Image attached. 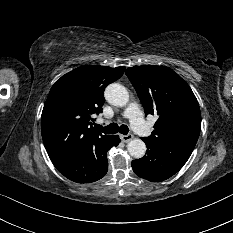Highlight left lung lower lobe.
Segmentation results:
<instances>
[{
	"instance_id": "left-lung-lower-lobe-1",
	"label": "left lung lower lobe",
	"mask_w": 233,
	"mask_h": 233,
	"mask_svg": "<svg viewBox=\"0 0 233 233\" xmlns=\"http://www.w3.org/2000/svg\"><path fill=\"white\" fill-rule=\"evenodd\" d=\"M147 151L141 159L133 160V171L152 182L166 180L177 173L189 159L192 150L154 144L143 138Z\"/></svg>"
}]
</instances>
